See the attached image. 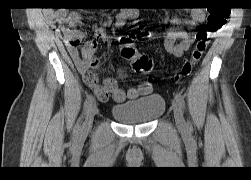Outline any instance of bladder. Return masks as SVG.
<instances>
[{
  "mask_svg": "<svg viewBox=\"0 0 251 180\" xmlns=\"http://www.w3.org/2000/svg\"><path fill=\"white\" fill-rule=\"evenodd\" d=\"M163 96L152 94L138 100L115 104L111 108L113 118L126 125L150 123L159 118L165 110Z\"/></svg>",
  "mask_w": 251,
  "mask_h": 180,
  "instance_id": "obj_1",
  "label": "bladder"
}]
</instances>
